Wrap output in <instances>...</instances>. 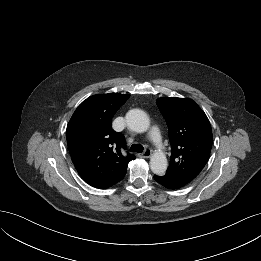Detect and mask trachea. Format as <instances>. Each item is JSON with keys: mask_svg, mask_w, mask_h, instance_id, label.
I'll list each match as a JSON object with an SVG mask.
<instances>
[{"mask_svg": "<svg viewBox=\"0 0 261 261\" xmlns=\"http://www.w3.org/2000/svg\"><path fill=\"white\" fill-rule=\"evenodd\" d=\"M130 152L142 153L143 146L141 144H132V146L130 147Z\"/></svg>", "mask_w": 261, "mask_h": 261, "instance_id": "trachea-1", "label": "trachea"}]
</instances>
